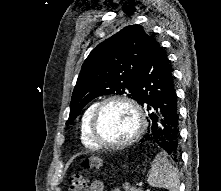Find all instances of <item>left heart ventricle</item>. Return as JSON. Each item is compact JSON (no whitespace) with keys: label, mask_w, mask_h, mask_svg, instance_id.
<instances>
[{"label":"left heart ventricle","mask_w":221,"mask_h":191,"mask_svg":"<svg viewBox=\"0 0 221 191\" xmlns=\"http://www.w3.org/2000/svg\"><path fill=\"white\" fill-rule=\"evenodd\" d=\"M136 117L133 110L120 102L105 106L99 119V132L102 139L110 143H120L135 131Z\"/></svg>","instance_id":"left-heart-ventricle-1"}]
</instances>
